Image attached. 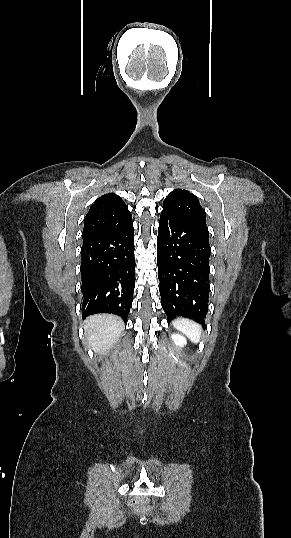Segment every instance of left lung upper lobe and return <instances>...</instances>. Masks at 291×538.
I'll return each mask as SVG.
<instances>
[{
  "instance_id": "obj_1",
  "label": "left lung upper lobe",
  "mask_w": 291,
  "mask_h": 538,
  "mask_svg": "<svg viewBox=\"0 0 291 538\" xmlns=\"http://www.w3.org/2000/svg\"><path fill=\"white\" fill-rule=\"evenodd\" d=\"M162 212H168L184 220L206 225V213L198 198L187 190L172 191L163 202ZM177 314H179L177 312Z\"/></svg>"
}]
</instances>
